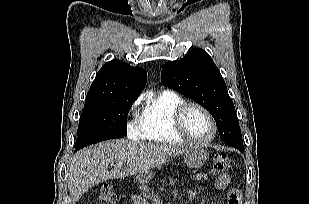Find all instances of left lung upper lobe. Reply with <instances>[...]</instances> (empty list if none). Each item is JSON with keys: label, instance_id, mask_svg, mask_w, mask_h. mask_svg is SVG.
<instances>
[{"label": "left lung upper lobe", "instance_id": "obj_1", "mask_svg": "<svg viewBox=\"0 0 309 204\" xmlns=\"http://www.w3.org/2000/svg\"><path fill=\"white\" fill-rule=\"evenodd\" d=\"M161 82L206 108L215 119L221 139L241 150L242 135L234 104L220 71L203 49L167 62Z\"/></svg>", "mask_w": 309, "mask_h": 204}]
</instances>
